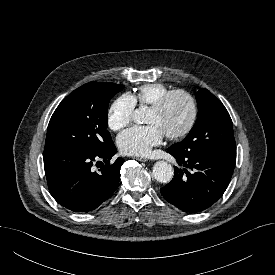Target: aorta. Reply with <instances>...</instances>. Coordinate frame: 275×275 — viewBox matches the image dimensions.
I'll return each mask as SVG.
<instances>
[{
    "label": "aorta",
    "mask_w": 275,
    "mask_h": 275,
    "mask_svg": "<svg viewBox=\"0 0 275 275\" xmlns=\"http://www.w3.org/2000/svg\"><path fill=\"white\" fill-rule=\"evenodd\" d=\"M147 107L140 106L134 110L133 120L137 124L145 123L147 119ZM174 171L172 166L165 161H158L153 166V176L160 183L170 182Z\"/></svg>",
    "instance_id": "762f6f07"
}]
</instances>
